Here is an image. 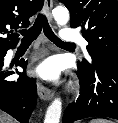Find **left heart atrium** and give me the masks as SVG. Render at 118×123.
<instances>
[{"instance_id":"left-heart-atrium-1","label":"left heart atrium","mask_w":118,"mask_h":123,"mask_svg":"<svg viewBox=\"0 0 118 123\" xmlns=\"http://www.w3.org/2000/svg\"><path fill=\"white\" fill-rule=\"evenodd\" d=\"M35 73L44 80L55 81L59 77L60 67L55 59L48 58L36 67Z\"/></svg>"}]
</instances>
